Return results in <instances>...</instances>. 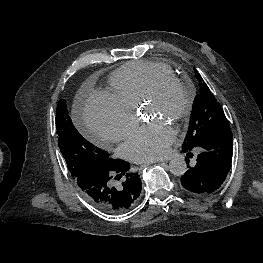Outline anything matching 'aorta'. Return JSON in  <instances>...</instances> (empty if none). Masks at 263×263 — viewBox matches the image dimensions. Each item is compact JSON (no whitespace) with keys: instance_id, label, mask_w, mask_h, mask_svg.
<instances>
[{"instance_id":"1","label":"aorta","mask_w":263,"mask_h":263,"mask_svg":"<svg viewBox=\"0 0 263 263\" xmlns=\"http://www.w3.org/2000/svg\"><path fill=\"white\" fill-rule=\"evenodd\" d=\"M169 170L175 176H182L187 170V164L184 158L176 157L169 162Z\"/></svg>"}]
</instances>
